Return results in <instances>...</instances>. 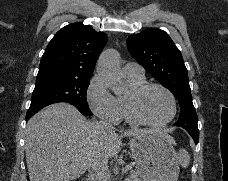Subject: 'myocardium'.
<instances>
[{"mask_svg":"<svg viewBox=\"0 0 228 181\" xmlns=\"http://www.w3.org/2000/svg\"><path fill=\"white\" fill-rule=\"evenodd\" d=\"M151 88L160 90L167 96V98L169 100V105H170L169 114L164 119L159 120V121H152V120L145 118L139 108L140 96L142 95L143 92H145L146 90L151 89ZM128 108H129L132 118L136 122H138L140 124L149 125V126H160V125H163V124L169 122L171 120V118L173 117V115L175 113V101H174L172 94L168 90H166L164 87L158 85L157 83L146 82V83L136 86L135 88H133L131 90L129 97H128Z\"/></svg>","mask_w":228,"mask_h":181,"instance_id":"myocardium-1","label":"myocardium"}]
</instances>
